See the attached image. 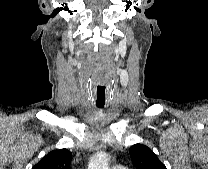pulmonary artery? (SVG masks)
Segmentation results:
<instances>
[{"mask_svg": "<svg viewBox=\"0 0 208 169\" xmlns=\"http://www.w3.org/2000/svg\"><path fill=\"white\" fill-rule=\"evenodd\" d=\"M112 169H128V167L125 165H115Z\"/></svg>", "mask_w": 208, "mask_h": 169, "instance_id": "pulmonary-artery-1", "label": "pulmonary artery"}]
</instances>
